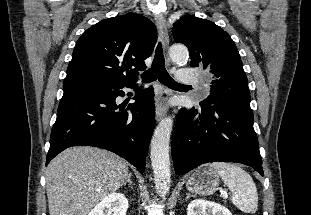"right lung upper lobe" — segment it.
Wrapping results in <instances>:
<instances>
[{
    "label": "right lung upper lobe",
    "instance_id": "right-lung-upper-lobe-1",
    "mask_svg": "<svg viewBox=\"0 0 311 215\" xmlns=\"http://www.w3.org/2000/svg\"><path fill=\"white\" fill-rule=\"evenodd\" d=\"M157 40L155 25L136 13L108 18L77 40L63 86L99 81L134 84Z\"/></svg>",
    "mask_w": 311,
    "mask_h": 215
}]
</instances>
